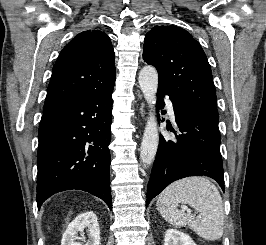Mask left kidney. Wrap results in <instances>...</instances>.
Wrapping results in <instances>:
<instances>
[{
	"instance_id": "5707ae66",
	"label": "left kidney",
	"mask_w": 266,
	"mask_h": 245,
	"mask_svg": "<svg viewBox=\"0 0 266 245\" xmlns=\"http://www.w3.org/2000/svg\"><path fill=\"white\" fill-rule=\"evenodd\" d=\"M164 245H195L189 235L177 231V229H168L165 233Z\"/></svg>"
}]
</instances>
